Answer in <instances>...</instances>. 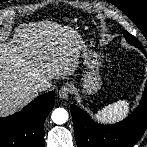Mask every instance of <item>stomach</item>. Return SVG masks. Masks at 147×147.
Masks as SVG:
<instances>
[{"instance_id": "stomach-1", "label": "stomach", "mask_w": 147, "mask_h": 147, "mask_svg": "<svg viewBox=\"0 0 147 147\" xmlns=\"http://www.w3.org/2000/svg\"><path fill=\"white\" fill-rule=\"evenodd\" d=\"M99 56L96 53L87 51L83 64L87 66L88 70L83 71L82 85L84 90L89 93H95L99 88L98 70L101 65Z\"/></svg>"}]
</instances>
